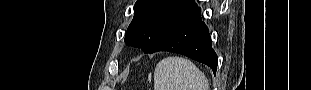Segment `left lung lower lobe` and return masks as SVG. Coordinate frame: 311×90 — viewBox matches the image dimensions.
Returning a JSON list of instances; mask_svg holds the SVG:
<instances>
[{"mask_svg":"<svg viewBox=\"0 0 311 90\" xmlns=\"http://www.w3.org/2000/svg\"><path fill=\"white\" fill-rule=\"evenodd\" d=\"M175 52L208 65L214 73L218 57L211 46L208 28L201 20V9L196 8L178 21L149 53Z\"/></svg>","mask_w":311,"mask_h":90,"instance_id":"1","label":"left lung lower lobe"}]
</instances>
